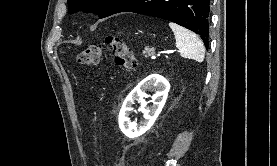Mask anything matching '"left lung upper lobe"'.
I'll list each match as a JSON object with an SVG mask.
<instances>
[{"mask_svg":"<svg viewBox=\"0 0 277 166\" xmlns=\"http://www.w3.org/2000/svg\"><path fill=\"white\" fill-rule=\"evenodd\" d=\"M137 0H68L69 13L77 11L96 12L100 18L119 13Z\"/></svg>","mask_w":277,"mask_h":166,"instance_id":"5c2ea615","label":"left lung upper lobe"}]
</instances>
